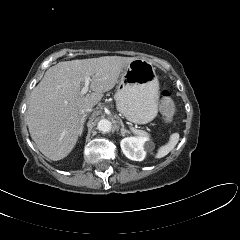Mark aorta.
Segmentation results:
<instances>
[{"instance_id":"aorta-1","label":"aorta","mask_w":240,"mask_h":240,"mask_svg":"<svg viewBox=\"0 0 240 240\" xmlns=\"http://www.w3.org/2000/svg\"><path fill=\"white\" fill-rule=\"evenodd\" d=\"M97 127L102 132H109L112 128V123L107 119H101L98 122Z\"/></svg>"}]
</instances>
